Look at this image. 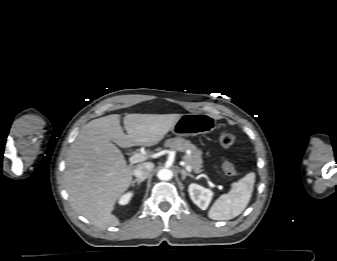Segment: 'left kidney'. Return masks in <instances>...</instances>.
Instances as JSON below:
<instances>
[{
	"label": "left kidney",
	"mask_w": 337,
	"mask_h": 261,
	"mask_svg": "<svg viewBox=\"0 0 337 261\" xmlns=\"http://www.w3.org/2000/svg\"><path fill=\"white\" fill-rule=\"evenodd\" d=\"M191 200L202 210H206L211 202L213 192L198 184L192 183L188 187Z\"/></svg>",
	"instance_id": "5707ae66"
}]
</instances>
